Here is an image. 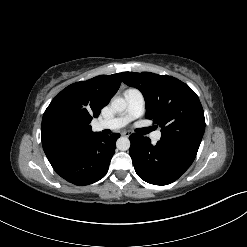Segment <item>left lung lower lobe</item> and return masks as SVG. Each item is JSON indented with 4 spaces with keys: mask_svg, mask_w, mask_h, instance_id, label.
I'll return each mask as SVG.
<instances>
[{
    "mask_svg": "<svg viewBox=\"0 0 247 247\" xmlns=\"http://www.w3.org/2000/svg\"><path fill=\"white\" fill-rule=\"evenodd\" d=\"M129 154L137 175L154 185H167L177 180L192 164L196 154L167 141L151 144L148 137L132 134Z\"/></svg>",
    "mask_w": 247,
    "mask_h": 247,
    "instance_id": "left-lung-lower-lobe-1",
    "label": "left lung lower lobe"
}]
</instances>
